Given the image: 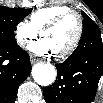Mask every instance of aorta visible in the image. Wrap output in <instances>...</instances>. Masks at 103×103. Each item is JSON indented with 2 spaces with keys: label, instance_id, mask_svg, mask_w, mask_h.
Here are the masks:
<instances>
[{
  "label": "aorta",
  "instance_id": "1",
  "mask_svg": "<svg viewBox=\"0 0 103 103\" xmlns=\"http://www.w3.org/2000/svg\"><path fill=\"white\" fill-rule=\"evenodd\" d=\"M35 82L41 86H49L56 79V70L52 64H35L32 68Z\"/></svg>",
  "mask_w": 103,
  "mask_h": 103
}]
</instances>
